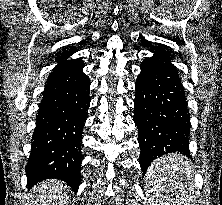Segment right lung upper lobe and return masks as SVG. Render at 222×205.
Listing matches in <instances>:
<instances>
[{"label": "right lung upper lobe", "mask_w": 222, "mask_h": 205, "mask_svg": "<svg viewBox=\"0 0 222 205\" xmlns=\"http://www.w3.org/2000/svg\"><path fill=\"white\" fill-rule=\"evenodd\" d=\"M76 51L69 50L67 52L61 53L57 59V66L53 69L51 75L77 70L84 67V63L80 58L67 60L70 55Z\"/></svg>", "instance_id": "obj_1"}]
</instances>
